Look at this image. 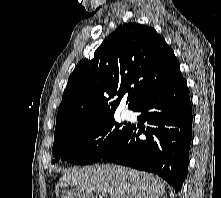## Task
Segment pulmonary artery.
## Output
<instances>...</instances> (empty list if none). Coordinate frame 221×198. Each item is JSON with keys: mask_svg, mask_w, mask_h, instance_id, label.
Wrapping results in <instances>:
<instances>
[{"mask_svg": "<svg viewBox=\"0 0 221 198\" xmlns=\"http://www.w3.org/2000/svg\"><path fill=\"white\" fill-rule=\"evenodd\" d=\"M131 114H132L131 111L128 109H125L122 111V116L126 119L129 118L131 116Z\"/></svg>", "mask_w": 221, "mask_h": 198, "instance_id": "pulmonary-artery-1", "label": "pulmonary artery"}]
</instances>
